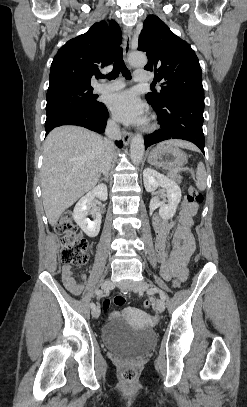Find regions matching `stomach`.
Masks as SVG:
<instances>
[{
  "label": "stomach",
  "mask_w": 247,
  "mask_h": 407,
  "mask_svg": "<svg viewBox=\"0 0 247 407\" xmlns=\"http://www.w3.org/2000/svg\"><path fill=\"white\" fill-rule=\"evenodd\" d=\"M188 161L187 154L180 148L168 143H160L154 147L148 156L151 165L165 168H180Z\"/></svg>",
  "instance_id": "0dacf381"
}]
</instances>
